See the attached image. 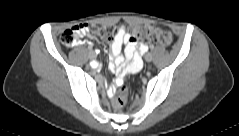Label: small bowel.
<instances>
[{"mask_svg":"<svg viewBox=\"0 0 239 136\" xmlns=\"http://www.w3.org/2000/svg\"><path fill=\"white\" fill-rule=\"evenodd\" d=\"M125 46L124 56L121 55L122 47ZM111 58L109 68L116 71L118 79L116 85L121 83V78L128 72L140 69L142 67V54L148 51V45L137 43L130 34H128L123 25H120L118 31L111 42Z\"/></svg>","mask_w":239,"mask_h":136,"instance_id":"c3829d8e","label":"small bowel"}]
</instances>
